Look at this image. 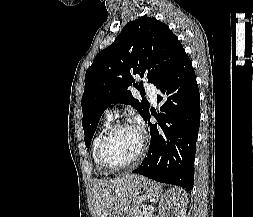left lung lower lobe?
<instances>
[{
    "label": "left lung lower lobe",
    "mask_w": 253,
    "mask_h": 217,
    "mask_svg": "<svg viewBox=\"0 0 253 217\" xmlns=\"http://www.w3.org/2000/svg\"><path fill=\"white\" fill-rule=\"evenodd\" d=\"M162 95L161 113L150 123V111L144 120L150 125L149 153L133 173L156 181L193 188L194 159L200 124V97L190 58L184 52L167 75L156 85Z\"/></svg>",
    "instance_id": "0a47b994"
}]
</instances>
